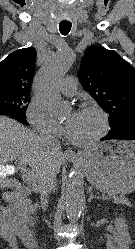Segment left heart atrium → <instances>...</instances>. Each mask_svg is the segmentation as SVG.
Wrapping results in <instances>:
<instances>
[{
    "label": "left heart atrium",
    "instance_id": "obj_1",
    "mask_svg": "<svg viewBox=\"0 0 135 249\" xmlns=\"http://www.w3.org/2000/svg\"><path fill=\"white\" fill-rule=\"evenodd\" d=\"M72 124V122L69 123V125L67 126V128Z\"/></svg>",
    "mask_w": 135,
    "mask_h": 249
}]
</instances>
